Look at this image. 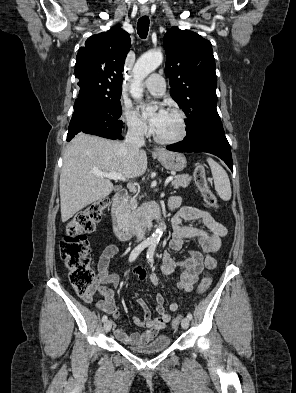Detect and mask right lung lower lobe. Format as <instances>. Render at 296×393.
<instances>
[{"instance_id":"right-lung-lower-lobe-1","label":"right lung lower lobe","mask_w":296,"mask_h":393,"mask_svg":"<svg viewBox=\"0 0 296 393\" xmlns=\"http://www.w3.org/2000/svg\"><path fill=\"white\" fill-rule=\"evenodd\" d=\"M123 122L114 117L107 109L93 101L78 96L69 124L67 141L79 132L93 134L109 139H121Z\"/></svg>"}]
</instances>
